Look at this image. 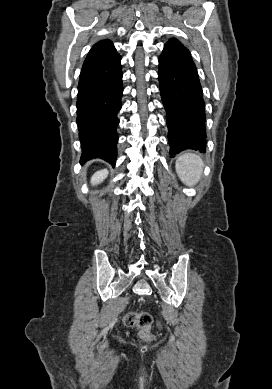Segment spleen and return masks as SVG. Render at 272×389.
Returning <instances> with one entry per match:
<instances>
[{
	"label": "spleen",
	"mask_w": 272,
	"mask_h": 389,
	"mask_svg": "<svg viewBox=\"0 0 272 389\" xmlns=\"http://www.w3.org/2000/svg\"><path fill=\"white\" fill-rule=\"evenodd\" d=\"M176 172L180 180L189 186L197 183L203 170L202 158L191 152L181 154L175 163Z\"/></svg>",
	"instance_id": "3e777b00"
}]
</instances>
